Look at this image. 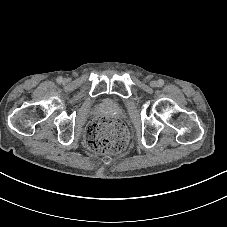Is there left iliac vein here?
Wrapping results in <instances>:
<instances>
[{"mask_svg": "<svg viewBox=\"0 0 227 227\" xmlns=\"http://www.w3.org/2000/svg\"><path fill=\"white\" fill-rule=\"evenodd\" d=\"M150 86L151 87H157L158 86V82L153 80V81L150 82Z\"/></svg>", "mask_w": 227, "mask_h": 227, "instance_id": "1", "label": "left iliac vein"}]
</instances>
